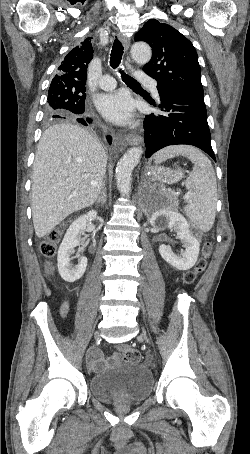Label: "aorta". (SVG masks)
<instances>
[{
    "label": "aorta",
    "mask_w": 250,
    "mask_h": 454,
    "mask_svg": "<svg viewBox=\"0 0 250 454\" xmlns=\"http://www.w3.org/2000/svg\"><path fill=\"white\" fill-rule=\"evenodd\" d=\"M131 56L138 64L148 63L152 56L150 46L145 42H136L131 47ZM141 147H133L121 157L116 167V180L120 193L128 196L131 190L132 172L140 161Z\"/></svg>",
    "instance_id": "762f6f07"
}]
</instances>
